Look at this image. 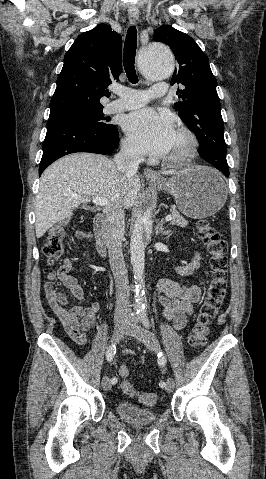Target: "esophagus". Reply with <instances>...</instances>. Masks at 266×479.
Returning a JSON list of instances; mask_svg holds the SVG:
<instances>
[{
    "instance_id": "obj_1",
    "label": "esophagus",
    "mask_w": 266,
    "mask_h": 479,
    "mask_svg": "<svg viewBox=\"0 0 266 479\" xmlns=\"http://www.w3.org/2000/svg\"><path fill=\"white\" fill-rule=\"evenodd\" d=\"M139 19V12L136 9H131L129 10V20L131 24H135ZM144 175L147 178H154V179H160L161 176L159 173L155 172L154 170L150 168H145L144 169Z\"/></svg>"
}]
</instances>
